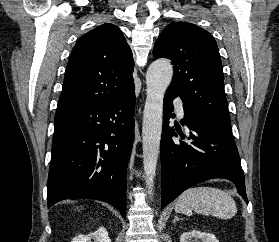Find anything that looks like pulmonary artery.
<instances>
[{
  "mask_svg": "<svg viewBox=\"0 0 279 242\" xmlns=\"http://www.w3.org/2000/svg\"><path fill=\"white\" fill-rule=\"evenodd\" d=\"M175 103V109H176V114L178 118L183 119L184 118V107H183V102L180 98H176L174 100Z\"/></svg>",
  "mask_w": 279,
  "mask_h": 242,
  "instance_id": "1",
  "label": "pulmonary artery"
}]
</instances>
